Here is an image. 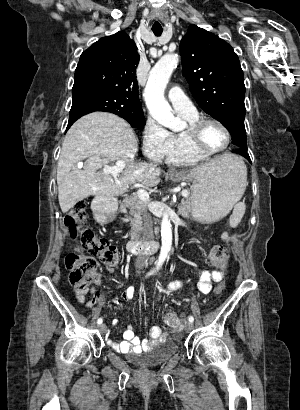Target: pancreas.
I'll use <instances>...</instances> for the list:
<instances>
[{
  "mask_svg": "<svg viewBox=\"0 0 300 410\" xmlns=\"http://www.w3.org/2000/svg\"><path fill=\"white\" fill-rule=\"evenodd\" d=\"M129 210V211H128ZM146 205L142 202L138 195H131L123 200L120 205V211L126 214L127 221L130 222L132 229L138 228L141 220V215L145 212ZM178 213L183 217H189L191 213V198L186 197L182 200ZM128 214L130 216H128Z\"/></svg>",
  "mask_w": 300,
  "mask_h": 410,
  "instance_id": "cf45deb5",
  "label": "pancreas"
}]
</instances>
